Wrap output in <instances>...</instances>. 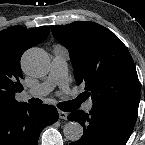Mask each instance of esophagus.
Masks as SVG:
<instances>
[{"label": "esophagus", "instance_id": "esophagus-1", "mask_svg": "<svg viewBox=\"0 0 145 145\" xmlns=\"http://www.w3.org/2000/svg\"><path fill=\"white\" fill-rule=\"evenodd\" d=\"M58 114H59V118H60V119L66 120L67 117H68V113H66V112H64V111H61V110L58 111Z\"/></svg>", "mask_w": 145, "mask_h": 145}]
</instances>
